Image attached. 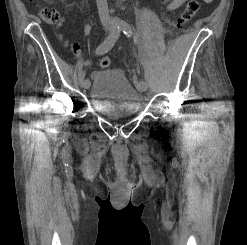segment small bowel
I'll return each mask as SVG.
<instances>
[{
	"label": "small bowel",
	"mask_w": 247,
	"mask_h": 245,
	"mask_svg": "<svg viewBox=\"0 0 247 245\" xmlns=\"http://www.w3.org/2000/svg\"><path fill=\"white\" fill-rule=\"evenodd\" d=\"M162 1H163V3H164L165 6H166V10H167V11H175V10H177L178 8H180V7L184 4V2H185L186 0H162ZM204 1L207 2V3H209V2H212L213 0H204ZM62 22H63V20L61 19L60 22H59V24H58V27L61 26ZM90 29H91V24H90V22H88V23L85 25V27H84L85 33L88 34L89 31H90ZM58 36H59V39L63 41L62 36H61L60 34H59ZM63 42H64V41H63ZM64 44H67V43L64 42ZM73 51H74L77 55H80V47H79L78 44L73 45ZM86 63H87V62H86Z\"/></svg>",
	"instance_id": "c3829d8e"
}]
</instances>
